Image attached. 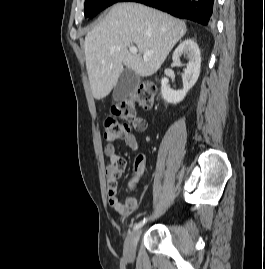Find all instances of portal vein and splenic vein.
<instances>
[{
    "label": "portal vein and splenic vein",
    "mask_w": 265,
    "mask_h": 269,
    "mask_svg": "<svg viewBox=\"0 0 265 269\" xmlns=\"http://www.w3.org/2000/svg\"><path fill=\"white\" fill-rule=\"evenodd\" d=\"M129 50L132 54H136L138 52V49L135 46L129 47ZM153 54V51H146L144 52V57L150 56Z\"/></svg>",
    "instance_id": "portal-vein-and-splenic-vein-1"
}]
</instances>
